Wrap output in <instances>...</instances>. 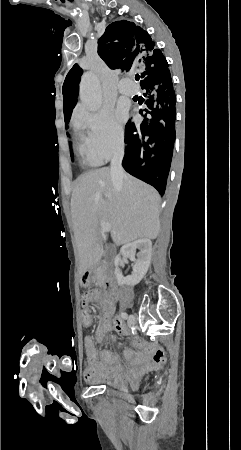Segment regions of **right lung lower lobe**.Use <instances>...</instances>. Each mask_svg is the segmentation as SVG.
<instances>
[{
	"mask_svg": "<svg viewBox=\"0 0 241 450\" xmlns=\"http://www.w3.org/2000/svg\"><path fill=\"white\" fill-rule=\"evenodd\" d=\"M141 78L140 85L146 89L144 111L149 118L145 117L139 126L130 121L126 124L127 146L122 166L163 195L173 155L176 116V95L168 62L145 68ZM70 117L71 114L65 120L66 126Z\"/></svg>",
	"mask_w": 241,
	"mask_h": 450,
	"instance_id": "98d812e1",
	"label": "right lung lower lobe"
}]
</instances>
